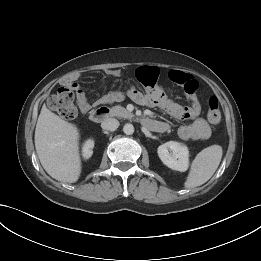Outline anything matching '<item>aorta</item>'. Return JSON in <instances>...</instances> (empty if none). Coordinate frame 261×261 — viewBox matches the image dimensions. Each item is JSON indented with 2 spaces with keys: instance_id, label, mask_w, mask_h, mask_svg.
<instances>
[{
  "instance_id": "aorta-1",
  "label": "aorta",
  "mask_w": 261,
  "mask_h": 261,
  "mask_svg": "<svg viewBox=\"0 0 261 261\" xmlns=\"http://www.w3.org/2000/svg\"><path fill=\"white\" fill-rule=\"evenodd\" d=\"M123 132L126 135H132L134 133V126L130 123L125 124L123 127Z\"/></svg>"
}]
</instances>
